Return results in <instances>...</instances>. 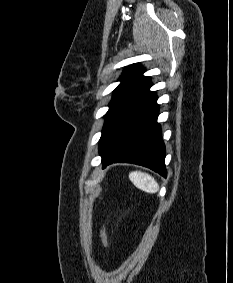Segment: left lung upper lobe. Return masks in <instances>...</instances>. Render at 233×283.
<instances>
[{
    "label": "left lung upper lobe",
    "instance_id": "1",
    "mask_svg": "<svg viewBox=\"0 0 233 283\" xmlns=\"http://www.w3.org/2000/svg\"><path fill=\"white\" fill-rule=\"evenodd\" d=\"M143 72L144 68L139 65H131L124 70L123 75L119 79L121 83L113 91V99L109 104L108 112L105 114V123L99 148L150 83V78L143 76Z\"/></svg>",
    "mask_w": 233,
    "mask_h": 283
}]
</instances>
